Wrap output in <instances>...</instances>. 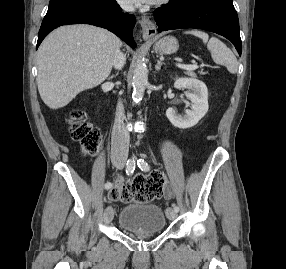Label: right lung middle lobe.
<instances>
[{
  "label": "right lung middle lobe",
  "instance_id": "1",
  "mask_svg": "<svg viewBox=\"0 0 286 269\" xmlns=\"http://www.w3.org/2000/svg\"><path fill=\"white\" fill-rule=\"evenodd\" d=\"M77 1H89L106 9L115 5V0H50L48 10Z\"/></svg>",
  "mask_w": 286,
  "mask_h": 269
}]
</instances>
